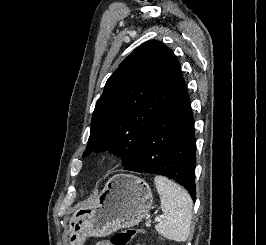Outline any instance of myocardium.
<instances>
[{"instance_id":"obj_1","label":"myocardium","mask_w":266,"mask_h":245,"mask_svg":"<svg viewBox=\"0 0 266 245\" xmlns=\"http://www.w3.org/2000/svg\"><path fill=\"white\" fill-rule=\"evenodd\" d=\"M110 160H111V158H110L109 156H104V157L102 158V162H103V163H109Z\"/></svg>"}]
</instances>
